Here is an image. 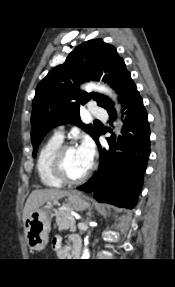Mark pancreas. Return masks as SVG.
I'll use <instances>...</instances> for the list:
<instances>
[{
  "mask_svg": "<svg viewBox=\"0 0 175 287\" xmlns=\"http://www.w3.org/2000/svg\"><path fill=\"white\" fill-rule=\"evenodd\" d=\"M56 216V226L58 230H70L71 232L76 231L75 220H72L73 217L69 210H60L55 214Z\"/></svg>",
  "mask_w": 175,
  "mask_h": 287,
  "instance_id": "obj_1",
  "label": "pancreas"
}]
</instances>
